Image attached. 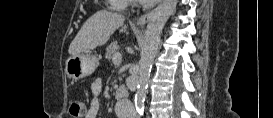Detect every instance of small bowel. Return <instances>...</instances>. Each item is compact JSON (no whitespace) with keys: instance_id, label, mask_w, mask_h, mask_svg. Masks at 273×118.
<instances>
[{"instance_id":"c3829d8e","label":"small bowel","mask_w":273,"mask_h":118,"mask_svg":"<svg viewBox=\"0 0 273 118\" xmlns=\"http://www.w3.org/2000/svg\"><path fill=\"white\" fill-rule=\"evenodd\" d=\"M91 90L93 93V98L90 100L89 109L86 115V118H96L100 108V102L97 96L100 94L102 90V81L95 80L92 83ZM116 114L119 118H124L128 113V107L126 105L117 104L116 105Z\"/></svg>"}]
</instances>
